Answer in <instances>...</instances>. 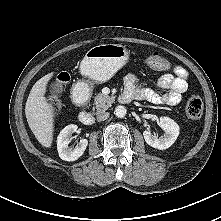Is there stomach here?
I'll use <instances>...</instances> for the list:
<instances>
[{
	"mask_svg": "<svg viewBox=\"0 0 221 221\" xmlns=\"http://www.w3.org/2000/svg\"><path fill=\"white\" fill-rule=\"evenodd\" d=\"M129 59V51L121 44H102L87 51L80 64L81 74L94 82H106Z\"/></svg>",
	"mask_w": 221,
	"mask_h": 221,
	"instance_id": "1",
	"label": "stomach"
}]
</instances>
